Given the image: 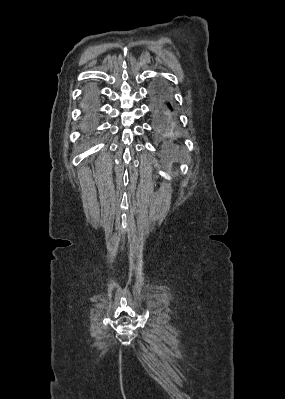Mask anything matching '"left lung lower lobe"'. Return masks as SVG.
Masks as SVG:
<instances>
[{"mask_svg":"<svg viewBox=\"0 0 285 399\" xmlns=\"http://www.w3.org/2000/svg\"><path fill=\"white\" fill-rule=\"evenodd\" d=\"M153 114L159 134L165 137H176L178 131L172 116L173 106L167 91L158 87L152 95Z\"/></svg>","mask_w":285,"mask_h":399,"instance_id":"1","label":"left lung lower lobe"}]
</instances>
